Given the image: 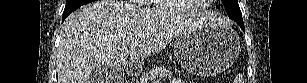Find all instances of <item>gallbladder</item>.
Listing matches in <instances>:
<instances>
[{
    "label": "gallbladder",
    "mask_w": 307,
    "mask_h": 83,
    "mask_svg": "<svg viewBox=\"0 0 307 83\" xmlns=\"http://www.w3.org/2000/svg\"><path fill=\"white\" fill-rule=\"evenodd\" d=\"M123 71L121 69L100 66L90 75L92 83H121Z\"/></svg>",
    "instance_id": "bac80fb5"
}]
</instances>
